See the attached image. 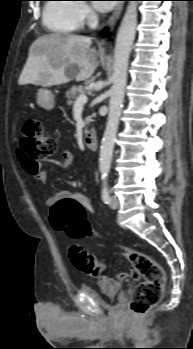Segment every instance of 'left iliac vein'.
I'll list each match as a JSON object with an SVG mask.
<instances>
[{"label": "left iliac vein", "instance_id": "4c4485c4", "mask_svg": "<svg viewBox=\"0 0 193 349\" xmlns=\"http://www.w3.org/2000/svg\"><path fill=\"white\" fill-rule=\"evenodd\" d=\"M110 207L112 209H116L118 207V198L116 196H112L110 200Z\"/></svg>", "mask_w": 193, "mask_h": 349}]
</instances>
